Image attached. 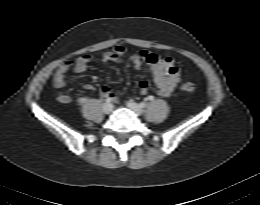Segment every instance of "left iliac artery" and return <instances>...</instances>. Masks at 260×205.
Segmentation results:
<instances>
[{"label":"left iliac artery","mask_w":260,"mask_h":205,"mask_svg":"<svg viewBox=\"0 0 260 205\" xmlns=\"http://www.w3.org/2000/svg\"><path fill=\"white\" fill-rule=\"evenodd\" d=\"M149 99L152 100L153 97H152V96H149ZM140 107H141V108H145V107H146V104H145L144 102H141V103H140Z\"/></svg>","instance_id":"44dca946"}]
</instances>
